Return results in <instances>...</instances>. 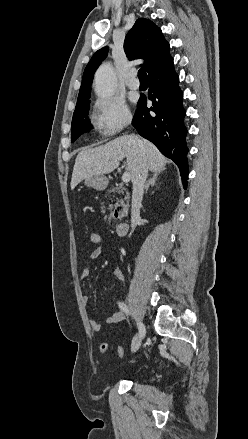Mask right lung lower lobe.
<instances>
[{
  "instance_id": "1",
  "label": "right lung lower lobe",
  "mask_w": 248,
  "mask_h": 439,
  "mask_svg": "<svg viewBox=\"0 0 248 439\" xmlns=\"http://www.w3.org/2000/svg\"><path fill=\"white\" fill-rule=\"evenodd\" d=\"M179 77L173 62L149 74V96L152 106H146L147 98L141 96L133 118V126L139 134L153 142L160 152L179 167L184 188L187 186L188 163L184 125L185 109Z\"/></svg>"
}]
</instances>
